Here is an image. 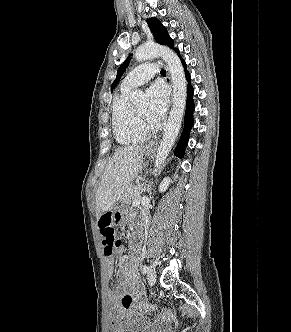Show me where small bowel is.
Masks as SVG:
<instances>
[{
  "label": "small bowel",
  "mask_w": 291,
  "mask_h": 332,
  "mask_svg": "<svg viewBox=\"0 0 291 332\" xmlns=\"http://www.w3.org/2000/svg\"><path fill=\"white\" fill-rule=\"evenodd\" d=\"M140 253L132 249L129 256L118 251L119 265L117 278L118 286L110 292V316L112 331L117 332H163L173 315L164 312L161 318L151 322L144 315L145 312L155 310L143 296L137 275V263ZM108 274H113V264L108 262Z\"/></svg>",
  "instance_id": "1"
}]
</instances>
